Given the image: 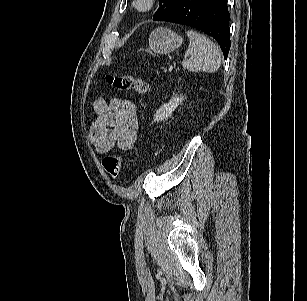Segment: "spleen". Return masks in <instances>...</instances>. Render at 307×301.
Instances as JSON below:
<instances>
[{
  "label": "spleen",
  "mask_w": 307,
  "mask_h": 301,
  "mask_svg": "<svg viewBox=\"0 0 307 301\" xmlns=\"http://www.w3.org/2000/svg\"><path fill=\"white\" fill-rule=\"evenodd\" d=\"M190 43L185 52L182 66L190 72L217 71L221 65V55L219 48L206 36L189 30L186 32Z\"/></svg>",
  "instance_id": "3e777b00"
}]
</instances>
